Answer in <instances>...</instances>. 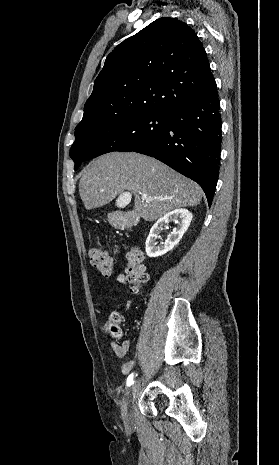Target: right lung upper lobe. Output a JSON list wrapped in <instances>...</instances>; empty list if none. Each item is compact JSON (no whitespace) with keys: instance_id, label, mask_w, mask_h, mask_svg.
Returning <instances> with one entry per match:
<instances>
[{"instance_id":"1","label":"right lung upper lobe","mask_w":279,"mask_h":465,"mask_svg":"<svg viewBox=\"0 0 279 465\" xmlns=\"http://www.w3.org/2000/svg\"><path fill=\"white\" fill-rule=\"evenodd\" d=\"M213 81L195 32L177 19H157L107 56L75 129L167 112L205 94Z\"/></svg>"}]
</instances>
